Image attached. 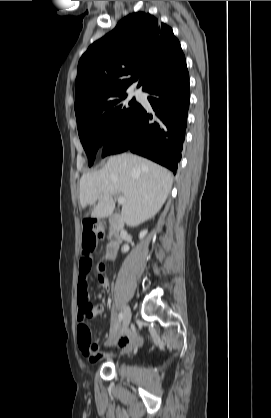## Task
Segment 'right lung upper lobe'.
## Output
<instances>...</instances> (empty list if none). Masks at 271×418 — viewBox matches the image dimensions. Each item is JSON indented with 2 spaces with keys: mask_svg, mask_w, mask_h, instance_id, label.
Wrapping results in <instances>:
<instances>
[{
  "mask_svg": "<svg viewBox=\"0 0 271 418\" xmlns=\"http://www.w3.org/2000/svg\"><path fill=\"white\" fill-rule=\"evenodd\" d=\"M184 61L180 43L169 26L149 13L129 14L79 60L75 114H84L126 93L139 78L138 87L148 91Z\"/></svg>",
  "mask_w": 271,
  "mask_h": 418,
  "instance_id": "obj_1",
  "label": "right lung upper lobe"
}]
</instances>
